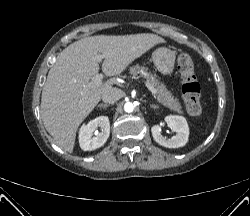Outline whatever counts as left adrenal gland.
Masks as SVG:
<instances>
[{"label": "left adrenal gland", "mask_w": 250, "mask_h": 216, "mask_svg": "<svg viewBox=\"0 0 250 216\" xmlns=\"http://www.w3.org/2000/svg\"><path fill=\"white\" fill-rule=\"evenodd\" d=\"M150 107H151V108H155V109L159 108V107L156 106V105H150Z\"/></svg>", "instance_id": "left-adrenal-gland-1"}]
</instances>
